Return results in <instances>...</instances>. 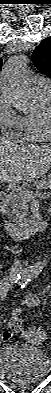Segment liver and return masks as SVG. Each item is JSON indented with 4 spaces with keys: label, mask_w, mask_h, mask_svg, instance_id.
I'll return each instance as SVG.
<instances>
[{
    "label": "liver",
    "mask_w": 51,
    "mask_h": 393,
    "mask_svg": "<svg viewBox=\"0 0 51 393\" xmlns=\"http://www.w3.org/2000/svg\"><path fill=\"white\" fill-rule=\"evenodd\" d=\"M51 168L50 145H27L0 138V181H32Z\"/></svg>",
    "instance_id": "obj_1"
}]
</instances>
